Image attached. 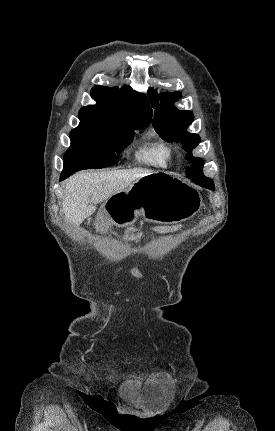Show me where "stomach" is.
<instances>
[{"mask_svg":"<svg viewBox=\"0 0 275 431\" xmlns=\"http://www.w3.org/2000/svg\"><path fill=\"white\" fill-rule=\"evenodd\" d=\"M202 205L200 193L188 183L155 172L107 199L97 215L95 227L105 232L110 225L131 226L139 217L153 223H179L198 213Z\"/></svg>","mask_w":275,"mask_h":431,"instance_id":"0dacf381","label":"stomach"}]
</instances>
